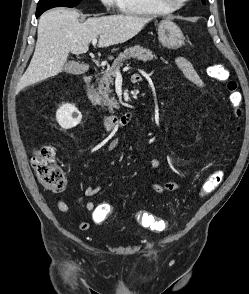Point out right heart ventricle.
I'll use <instances>...</instances> for the list:
<instances>
[{"instance_id": "e07e8e85", "label": "right heart ventricle", "mask_w": 249, "mask_h": 294, "mask_svg": "<svg viewBox=\"0 0 249 294\" xmlns=\"http://www.w3.org/2000/svg\"><path fill=\"white\" fill-rule=\"evenodd\" d=\"M119 9L131 15H165L172 9L162 6L157 0H116Z\"/></svg>"}]
</instances>
